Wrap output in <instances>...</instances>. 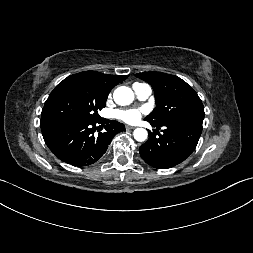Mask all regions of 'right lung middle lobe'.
Here are the masks:
<instances>
[{"mask_svg": "<svg viewBox=\"0 0 253 253\" xmlns=\"http://www.w3.org/2000/svg\"><path fill=\"white\" fill-rule=\"evenodd\" d=\"M108 92L77 73L65 78L51 92L41 113V122L73 120L95 122L106 105Z\"/></svg>", "mask_w": 253, "mask_h": 253, "instance_id": "right-lung-middle-lobe-1", "label": "right lung middle lobe"}]
</instances>
